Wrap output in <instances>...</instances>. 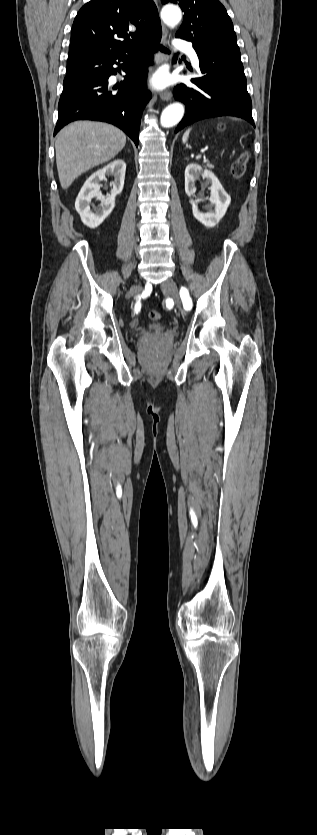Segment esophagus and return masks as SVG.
<instances>
[{"instance_id": "34e87169", "label": "esophagus", "mask_w": 317, "mask_h": 835, "mask_svg": "<svg viewBox=\"0 0 317 835\" xmlns=\"http://www.w3.org/2000/svg\"><path fill=\"white\" fill-rule=\"evenodd\" d=\"M154 1H155V4L157 5V0H154ZM167 36H168V31H167L166 27L164 25H162V40H163V42H166ZM160 98L164 101H169L172 98V92L170 90L163 91L160 94Z\"/></svg>"}]
</instances>
